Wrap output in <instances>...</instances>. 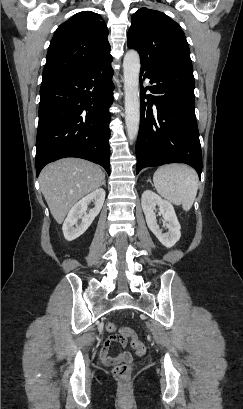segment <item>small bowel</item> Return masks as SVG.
Here are the masks:
<instances>
[{
	"instance_id": "obj_1",
	"label": "small bowel",
	"mask_w": 243,
	"mask_h": 409,
	"mask_svg": "<svg viewBox=\"0 0 243 409\" xmlns=\"http://www.w3.org/2000/svg\"><path fill=\"white\" fill-rule=\"evenodd\" d=\"M113 343H118L122 347H126L127 340H120L116 336H109L106 338L99 350L100 361L105 365H115L118 362H125L131 360V354L127 351H124L116 356L110 355V346Z\"/></svg>"
}]
</instances>
